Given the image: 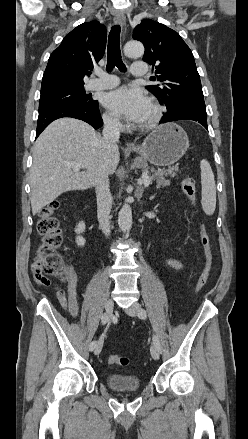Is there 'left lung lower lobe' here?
<instances>
[{
  "instance_id": "0a47b994",
  "label": "left lung lower lobe",
  "mask_w": 248,
  "mask_h": 439,
  "mask_svg": "<svg viewBox=\"0 0 248 439\" xmlns=\"http://www.w3.org/2000/svg\"><path fill=\"white\" fill-rule=\"evenodd\" d=\"M177 120H193L199 122L207 130V114L206 109L194 107V106H182L174 111L163 115L160 123H167Z\"/></svg>"
}]
</instances>
